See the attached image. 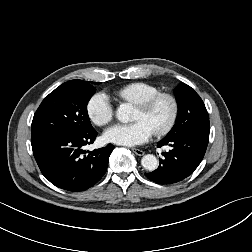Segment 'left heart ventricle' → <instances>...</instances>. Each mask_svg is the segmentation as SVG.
Masks as SVG:
<instances>
[{"label":"left heart ventricle","mask_w":252,"mask_h":252,"mask_svg":"<svg viewBox=\"0 0 252 252\" xmlns=\"http://www.w3.org/2000/svg\"><path fill=\"white\" fill-rule=\"evenodd\" d=\"M167 112L168 105L165 102H160L151 114H145L138 108L135 120H145L155 129L165 120Z\"/></svg>","instance_id":"left-heart-ventricle-1"}]
</instances>
